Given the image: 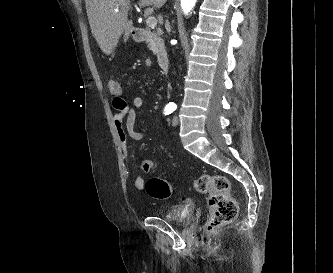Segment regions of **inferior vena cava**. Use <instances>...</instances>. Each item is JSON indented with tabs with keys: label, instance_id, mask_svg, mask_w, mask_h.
Returning <instances> with one entry per match:
<instances>
[{
	"label": "inferior vena cava",
	"instance_id": "obj_1",
	"mask_svg": "<svg viewBox=\"0 0 333 273\" xmlns=\"http://www.w3.org/2000/svg\"><path fill=\"white\" fill-rule=\"evenodd\" d=\"M168 25V21H166V26Z\"/></svg>",
	"mask_w": 333,
	"mask_h": 273
}]
</instances>
